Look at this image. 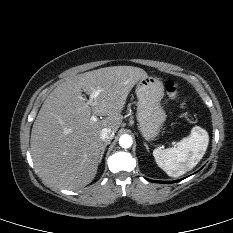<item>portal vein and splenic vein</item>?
<instances>
[{
    "instance_id": "18ae733b",
    "label": "portal vein and splenic vein",
    "mask_w": 233,
    "mask_h": 233,
    "mask_svg": "<svg viewBox=\"0 0 233 233\" xmlns=\"http://www.w3.org/2000/svg\"><path fill=\"white\" fill-rule=\"evenodd\" d=\"M99 94V91H94L91 95H90V101H92L97 95ZM92 121H96L97 117L95 115H92L91 117Z\"/></svg>"
}]
</instances>
